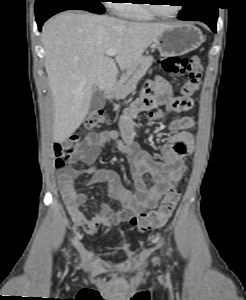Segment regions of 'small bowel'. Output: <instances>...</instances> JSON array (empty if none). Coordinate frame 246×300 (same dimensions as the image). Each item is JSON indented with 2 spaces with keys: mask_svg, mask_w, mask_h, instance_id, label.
<instances>
[{
  "mask_svg": "<svg viewBox=\"0 0 246 300\" xmlns=\"http://www.w3.org/2000/svg\"><path fill=\"white\" fill-rule=\"evenodd\" d=\"M173 87L161 76L149 80L141 97L124 110L119 120L121 134L117 131H101L86 135L79 150L77 160L84 163L85 169H76L68 164L57 171V180L68 212L76 226L83 227L88 233H96L101 228H108L126 221L133 213L151 209L173 185L177 184L185 168V158L194 150V138L191 133L195 123L189 116H181L169 124L172 135L168 138L157 160L150 154L140 151L134 144V129L131 119L138 112L165 104L172 113H182L194 106L188 96L173 97ZM116 142L119 151L127 154L132 162V182L135 194L122 184L116 170L100 169L95 161L105 146ZM90 176L89 184L104 183L109 197L122 206L114 210L109 204H103L92 210V217L86 218L80 211L87 197L77 191L75 178L80 175ZM153 177V185L147 186L143 175Z\"/></svg>",
  "mask_w": 246,
  "mask_h": 300,
  "instance_id": "obj_1",
  "label": "small bowel"
}]
</instances>
